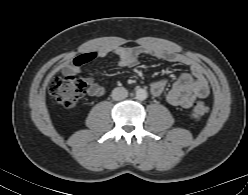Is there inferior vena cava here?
Instances as JSON below:
<instances>
[{
	"instance_id": "602c4592",
	"label": "inferior vena cava",
	"mask_w": 248,
	"mask_h": 195,
	"mask_svg": "<svg viewBox=\"0 0 248 195\" xmlns=\"http://www.w3.org/2000/svg\"><path fill=\"white\" fill-rule=\"evenodd\" d=\"M128 96V91L124 87H116L112 91V98L116 101L125 99Z\"/></svg>"
}]
</instances>
